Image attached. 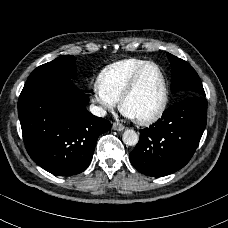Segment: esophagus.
I'll return each instance as SVG.
<instances>
[{
    "label": "esophagus",
    "instance_id": "1",
    "mask_svg": "<svg viewBox=\"0 0 228 228\" xmlns=\"http://www.w3.org/2000/svg\"><path fill=\"white\" fill-rule=\"evenodd\" d=\"M112 127H113V130H116V131H122L124 129V125H122L117 121L113 122Z\"/></svg>",
    "mask_w": 228,
    "mask_h": 228
}]
</instances>
